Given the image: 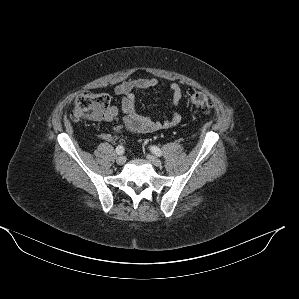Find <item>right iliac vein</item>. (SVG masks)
<instances>
[{
  "label": "right iliac vein",
  "instance_id": "1",
  "mask_svg": "<svg viewBox=\"0 0 299 299\" xmlns=\"http://www.w3.org/2000/svg\"><path fill=\"white\" fill-rule=\"evenodd\" d=\"M116 162H117V164H119V165H123V164L126 162V158H125V156H119V157L116 159Z\"/></svg>",
  "mask_w": 299,
  "mask_h": 299
}]
</instances>
